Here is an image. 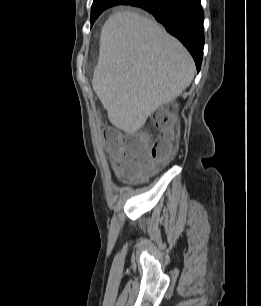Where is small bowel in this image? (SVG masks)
Here are the masks:
<instances>
[{
  "label": "small bowel",
  "instance_id": "obj_1",
  "mask_svg": "<svg viewBox=\"0 0 261 306\" xmlns=\"http://www.w3.org/2000/svg\"><path fill=\"white\" fill-rule=\"evenodd\" d=\"M115 164H116L117 170L119 172L124 167H131L136 171H140L144 167V165L141 162L129 160L124 155L121 156L120 158L116 159Z\"/></svg>",
  "mask_w": 261,
  "mask_h": 306
}]
</instances>
